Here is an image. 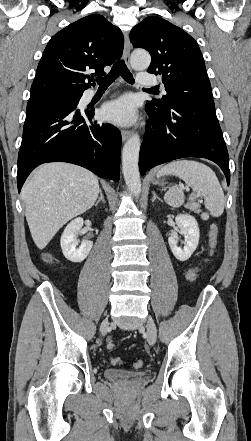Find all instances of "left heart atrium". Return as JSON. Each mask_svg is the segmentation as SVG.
<instances>
[{"mask_svg": "<svg viewBox=\"0 0 251 441\" xmlns=\"http://www.w3.org/2000/svg\"><path fill=\"white\" fill-rule=\"evenodd\" d=\"M101 117L117 125L134 123L137 119L136 103L130 96L110 101L102 107Z\"/></svg>", "mask_w": 251, "mask_h": 441, "instance_id": "1", "label": "left heart atrium"}]
</instances>
